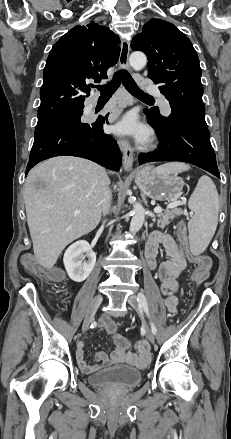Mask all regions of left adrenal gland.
I'll return each mask as SVG.
<instances>
[{"instance_id":"1","label":"left adrenal gland","mask_w":231,"mask_h":439,"mask_svg":"<svg viewBox=\"0 0 231 439\" xmlns=\"http://www.w3.org/2000/svg\"><path fill=\"white\" fill-rule=\"evenodd\" d=\"M142 197H143L144 201L147 202V201H146V198H145L144 196H142Z\"/></svg>"}]
</instances>
